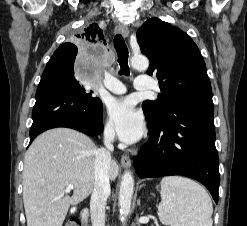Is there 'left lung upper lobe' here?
<instances>
[{
  "label": "left lung upper lobe",
  "instance_id": "5c2ea615",
  "mask_svg": "<svg viewBox=\"0 0 247 226\" xmlns=\"http://www.w3.org/2000/svg\"><path fill=\"white\" fill-rule=\"evenodd\" d=\"M141 52L150 60L148 74H156L161 94L142 109L149 124L162 121L187 100L212 98L204 59L183 31L158 18L146 21L136 33Z\"/></svg>",
  "mask_w": 247,
  "mask_h": 226
}]
</instances>
